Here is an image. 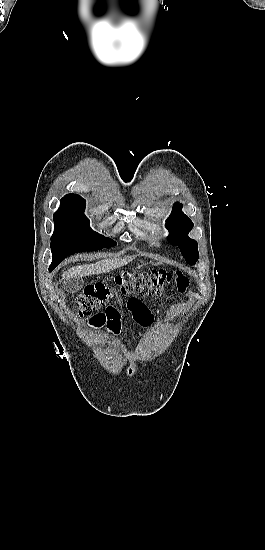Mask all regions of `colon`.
Masks as SVG:
<instances>
[{
	"label": "colon",
	"instance_id": "5ec220e1",
	"mask_svg": "<svg viewBox=\"0 0 265 550\" xmlns=\"http://www.w3.org/2000/svg\"><path fill=\"white\" fill-rule=\"evenodd\" d=\"M188 279L181 272L166 270H151L145 272H124L116 276L113 285L102 282L87 284L77 299L78 311L81 316L91 315L95 310L106 307L104 313L92 316L91 322L97 326L107 323L110 327L117 328V320L120 310L110 302L115 290L122 295L160 296L169 288L184 291L188 286ZM139 302H128L127 308L131 310ZM143 320L138 314L133 315L134 320L141 326L151 323V315Z\"/></svg>",
	"mask_w": 265,
	"mask_h": 550
}]
</instances>
